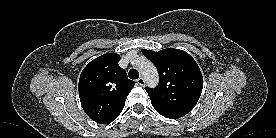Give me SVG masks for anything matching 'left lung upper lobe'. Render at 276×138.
Wrapping results in <instances>:
<instances>
[{
	"label": "left lung upper lobe",
	"instance_id": "5c2ea615",
	"mask_svg": "<svg viewBox=\"0 0 276 138\" xmlns=\"http://www.w3.org/2000/svg\"><path fill=\"white\" fill-rule=\"evenodd\" d=\"M142 53L157 68V88L146 87L155 110L169 119H178L196 105L203 88V77L195 60L185 51L173 48Z\"/></svg>",
	"mask_w": 276,
	"mask_h": 138
}]
</instances>
